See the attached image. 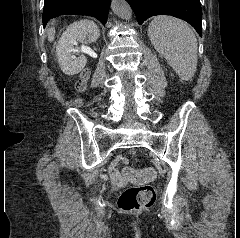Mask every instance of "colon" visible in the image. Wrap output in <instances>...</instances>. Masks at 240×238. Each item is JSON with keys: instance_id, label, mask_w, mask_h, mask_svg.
Listing matches in <instances>:
<instances>
[{"instance_id": "5ec220e1", "label": "colon", "mask_w": 240, "mask_h": 238, "mask_svg": "<svg viewBox=\"0 0 240 238\" xmlns=\"http://www.w3.org/2000/svg\"><path fill=\"white\" fill-rule=\"evenodd\" d=\"M87 76L86 72L82 74L77 85L79 90L84 88ZM156 175V170L151 167L141 170L126 167L122 173L123 179L138 185L122 191L118 198V208L124 212H135L151 207L156 197L155 190L145 183L153 180Z\"/></svg>"}]
</instances>
